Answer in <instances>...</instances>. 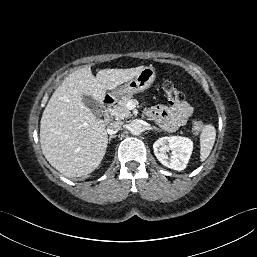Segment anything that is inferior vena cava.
I'll list each match as a JSON object with an SVG mask.
<instances>
[{"mask_svg": "<svg viewBox=\"0 0 257 257\" xmlns=\"http://www.w3.org/2000/svg\"><path fill=\"white\" fill-rule=\"evenodd\" d=\"M122 125L123 123L121 121H114L110 123L107 127V133L110 135L117 133L121 129Z\"/></svg>", "mask_w": 257, "mask_h": 257, "instance_id": "inferior-vena-cava-1", "label": "inferior vena cava"}]
</instances>
